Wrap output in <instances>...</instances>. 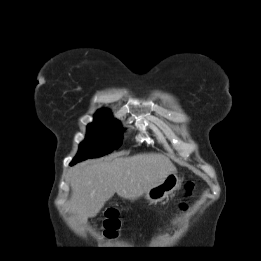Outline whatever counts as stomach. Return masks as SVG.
I'll return each instance as SVG.
<instances>
[{
    "label": "stomach",
    "instance_id": "stomach-1",
    "mask_svg": "<svg viewBox=\"0 0 261 261\" xmlns=\"http://www.w3.org/2000/svg\"><path fill=\"white\" fill-rule=\"evenodd\" d=\"M180 185V179L176 172L170 173L165 180L150 188L145 193V198L152 203H157L168 197L174 190H176Z\"/></svg>",
    "mask_w": 261,
    "mask_h": 261
}]
</instances>
